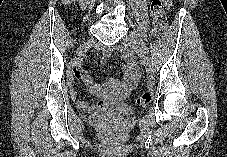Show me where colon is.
Instances as JSON below:
<instances>
[{"label":"colon","instance_id":"colon-1","mask_svg":"<svg viewBox=\"0 0 227 157\" xmlns=\"http://www.w3.org/2000/svg\"><path fill=\"white\" fill-rule=\"evenodd\" d=\"M150 14L157 31L161 32L166 28V16L163 9V0H152L150 3ZM150 94H142L137 97L136 104L145 108L150 104Z\"/></svg>","mask_w":227,"mask_h":157}]
</instances>
